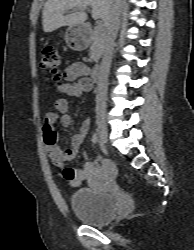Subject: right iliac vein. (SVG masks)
I'll use <instances>...</instances> for the list:
<instances>
[{
	"label": "right iliac vein",
	"mask_w": 194,
	"mask_h": 250,
	"mask_svg": "<svg viewBox=\"0 0 194 250\" xmlns=\"http://www.w3.org/2000/svg\"><path fill=\"white\" fill-rule=\"evenodd\" d=\"M97 130L100 140L104 145H106L108 141V128L104 118L100 117L97 119Z\"/></svg>",
	"instance_id": "63e3f726"
}]
</instances>
